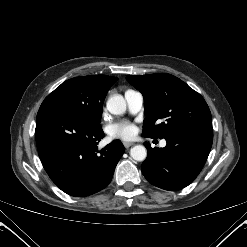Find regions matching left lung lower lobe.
<instances>
[{
    "instance_id": "1",
    "label": "left lung lower lobe",
    "mask_w": 247,
    "mask_h": 247,
    "mask_svg": "<svg viewBox=\"0 0 247 247\" xmlns=\"http://www.w3.org/2000/svg\"><path fill=\"white\" fill-rule=\"evenodd\" d=\"M167 145L154 149L144 143L148 156L141 168L153 185L177 191L192 183L209 155L213 128L211 124L186 127L164 137Z\"/></svg>"
}]
</instances>
